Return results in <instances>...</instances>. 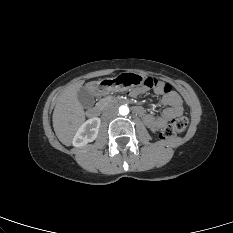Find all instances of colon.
<instances>
[{
	"mask_svg": "<svg viewBox=\"0 0 233 233\" xmlns=\"http://www.w3.org/2000/svg\"><path fill=\"white\" fill-rule=\"evenodd\" d=\"M144 86L147 88L159 87L163 92H168L171 87L169 84L164 83L155 78H147L144 81ZM188 125V120L185 117H178L167 125L161 132V137L164 139H169L175 136L176 133L183 132Z\"/></svg>",
	"mask_w": 233,
	"mask_h": 233,
	"instance_id": "colon-1",
	"label": "colon"
}]
</instances>
